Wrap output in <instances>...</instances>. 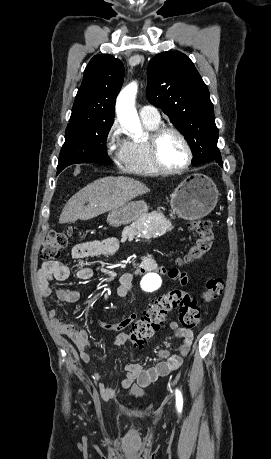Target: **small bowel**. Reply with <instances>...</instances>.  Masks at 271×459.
<instances>
[{
  "instance_id": "c3829d8e",
  "label": "small bowel",
  "mask_w": 271,
  "mask_h": 459,
  "mask_svg": "<svg viewBox=\"0 0 271 459\" xmlns=\"http://www.w3.org/2000/svg\"><path fill=\"white\" fill-rule=\"evenodd\" d=\"M118 249L119 242L116 238L96 239L75 245L71 250V257L74 260H82L99 256H113L117 253ZM154 270H158L169 278L178 281L181 286H186L190 282V277L187 272L179 271L176 268L159 269L155 259L152 256H146L142 259L140 268L135 273H125L121 275L117 294L120 297L127 298L130 295L134 277ZM75 275L80 280H89L93 276V271L89 267L81 266L76 270ZM69 276L70 270L66 265L57 261L44 262L38 272V286L41 295L43 297H48L55 293L56 297L61 302H77L80 299L79 291L63 287L54 289L52 287L54 282H63L67 280ZM49 317L55 330L69 337L76 345L82 361L89 363L90 355L87 350L91 347V342L87 333L73 324L58 319L53 309L49 311ZM136 319L137 311L133 310L119 322H98V324L104 330L120 332L134 323ZM170 329L174 335L180 339V345L177 351L173 353L165 349L154 351V355L159 361L153 367L146 368L139 363L127 364L125 366L126 377L118 387L111 388L104 383L100 384V393L103 398L110 399L114 397L120 389L145 388L158 378L165 377L181 367L184 358H186L191 351L194 335L191 329L179 326L176 322L170 323ZM127 338L125 334L119 333L114 340V346L124 344ZM96 378L99 379L100 376L96 374Z\"/></svg>"
}]
</instances>
